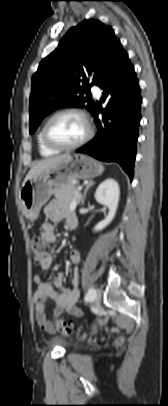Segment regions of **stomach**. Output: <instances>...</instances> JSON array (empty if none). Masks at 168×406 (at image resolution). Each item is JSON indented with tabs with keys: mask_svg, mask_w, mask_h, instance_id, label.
<instances>
[{
	"mask_svg": "<svg viewBox=\"0 0 168 406\" xmlns=\"http://www.w3.org/2000/svg\"><path fill=\"white\" fill-rule=\"evenodd\" d=\"M104 167L89 156L75 154L49 172L27 180L20 189V205L29 220L38 217L41 207L49 200L54 189L62 188L77 179H91L101 175Z\"/></svg>",
	"mask_w": 168,
	"mask_h": 406,
	"instance_id": "stomach-1",
	"label": "stomach"
}]
</instances>
